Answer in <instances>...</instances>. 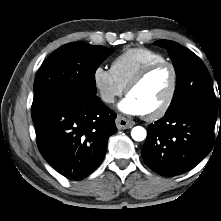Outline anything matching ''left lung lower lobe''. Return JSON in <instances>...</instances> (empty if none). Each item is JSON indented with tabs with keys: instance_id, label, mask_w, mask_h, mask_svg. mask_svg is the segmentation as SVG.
<instances>
[{
	"instance_id": "left-lung-lower-lobe-1",
	"label": "left lung lower lobe",
	"mask_w": 221,
	"mask_h": 221,
	"mask_svg": "<svg viewBox=\"0 0 221 221\" xmlns=\"http://www.w3.org/2000/svg\"><path fill=\"white\" fill-rule=\"evenodd\" d=\"M216 112L195 103L167 111L147 128L142 148L145 164L163 176L194 168L212 149Z\"/></svg>"
}]
</instances>
